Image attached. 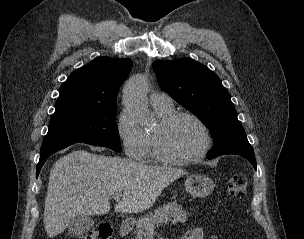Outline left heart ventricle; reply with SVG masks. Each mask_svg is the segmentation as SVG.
Returning <instances> with one entry per match:
<instances>
[{"mask_svg": "<svg viewBox=\"0 0 304 239\" xmlns=\"http://www.w3.org/2000/svg\"><path fill=\"white\" fill-rule=\"evenodd\" d=\"M204 137L200 127L191 119L181 118L162 136V151L174 158L196 154L203 146Z\"/></svg>", "mask_w": 304, "mask_h": 239, "instance_id": "b2bd125f", "label": "left heart ventricle"}]
</instances>
